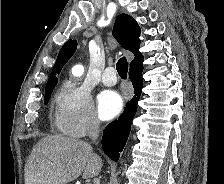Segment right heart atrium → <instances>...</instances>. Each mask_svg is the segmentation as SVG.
<instances>
[{"label":"right heart atrium","mask_w":224,"mask_h":184,"mask_svg":"<svg viewBox=\"0 0 224 184\" xmlns=\"http://www.w3.org/2000/svg\"><path fill=\"white\" fill-rule=\"evenodd\" d=\"M55 118L58 129L72 137H83L100 126L90 92L82 84L72 81L61 88Z\"/></svg>","instance_id":"obj_1"}]
</instances>
